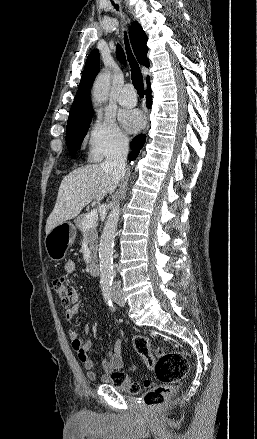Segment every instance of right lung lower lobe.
<instances>
[{"mask_svg": "<svg viewBox=\"0 0 257 439\" xmlns=\"http://www.w3.org/2000/svg\"><path fill=\"white\" fill-rule=\"evenodd\" d=\"M152 95H151V87H150V80L147 79V90H146V99H147V107L150 108L152 104ZM145 135L140 134L136 136L133 141L131 142V149L132 151L129 154L128 159L130 161L135 160L139 154L140 149L143 147L145 143Z\"/></svg>", "mask_w": 257, "mask_h": 439, "instance_id": "98d812e1", "label": "right lung lower lobe"}]
</instances>
